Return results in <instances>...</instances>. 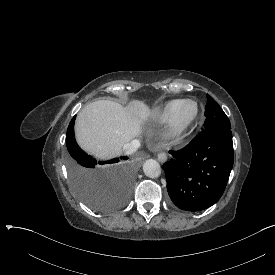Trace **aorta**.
I'll return each mask as SVG.
<instances>
[{
    "label": "aorta",
    "mask_w": 275,
    "mask_h": 275,
    "mask_svg": "<svg viewBox=\"0 0 275 275\" xmlns=\"http://www.w3.org/2000/svg\"><path fill=\"white\" fill-rule=\"evenodd\" d=\"M143 171L146 176L150 178H156L161 173V168L159 163L154 159H148L143 164Z\"/></svg>",
    "instance_id": "762f6f07"
}]
</instances>
